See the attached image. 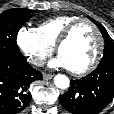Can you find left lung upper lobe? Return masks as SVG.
Instances as JSON below:
<instances>
[{
	"instance_id": "obj_1",
	"label": "left lung upper lobe",
	"mask_w": 114,
	"mask_h": 114,
	"mask_svg": "<svg viewBox=\"0 0 114 114\" xmlns=\"http://www.w3.org/2000/svg\"><path fill=\"white\" fill-rule=\"evenodd\" d=\"M99 28L101 31L104 40H105V47L103 52V57L101 59V62L99 65H105V64H112L114 63V43L112 39L110 38L109 34L107 33L106 29L98 22H96L94 19L90 18Z\"/></svg>"
}]
</instances>
